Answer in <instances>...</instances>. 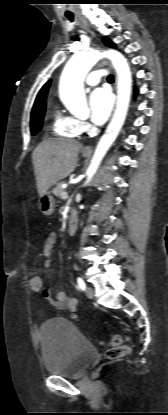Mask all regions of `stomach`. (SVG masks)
<instances>
[{"mask_svg": "<svg viewBox=\"0 0 168 415\" xmlns=\"http://www.w3.org/2000/svg\"><path fill=\"white\" fill-rule=\"evenodd\" d=\"M89 153L83 152V156L87 157ZM55 208V200L50 193H46L39 199V210L40 212L45 215L49 216L54 212Z\"/></svg>", "mask_w": 168, "mask_h": 415, "instance_id": "stomach-1", "label": "stomach"}]
</instances>
